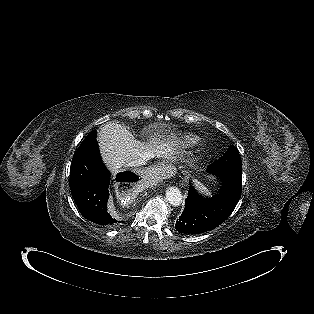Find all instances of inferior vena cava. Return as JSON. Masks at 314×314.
Returning <instances> with one entry per match:
<instances>
[{
    "instance_id": "obj_1",
    "label": "inferior vena cava",
    "mask_w": 314,
    "mask_h": 314,
    "mask_svg": "<svg viewBox=\"0 0 314 314\" xmlns=\"http://www.w3.org/2000/svg\"><path fill=\"white\" fill-rule=\"evenodd\" d=\"M147 160H148L147 158H138V159L128 162L127 166L135 167V166L145 165Z\"/></svg>"
}]
</instances>
